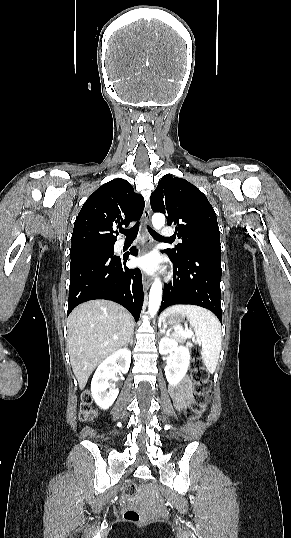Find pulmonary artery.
Returning <instances> with one entry per match:
<instances>
[{
	"label": "pulmonary artery",
	"mask_w": 291,
	"mask_h": 538,
	"mask_svg": "<svg viewBox=\"0 0 291 538\" xmlns=\"http://www.w3.org/2000/svg\"><path fill=\"white\" fill-rule=\"evenodd\" d=\"M174 235V232L171 228L165 227L161 230V236L164 238H170Z\"/></svg>",
	"instance_id": "pulmonary-artery-1"
}]
</instances>
